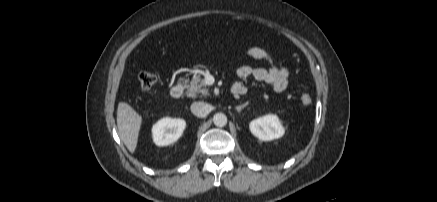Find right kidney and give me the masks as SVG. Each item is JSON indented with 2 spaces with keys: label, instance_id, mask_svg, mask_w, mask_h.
Wrapping results in <instances>:
<instances>
[{
  "label": "right kidney",
  "instance_id": "ca27d5eb",
  "mask_svg": "<svg viewBox=\"0 0 437 202\" xmlns=\"http://www.w3.org/2000/svg\"><path fill=\"white\" fill-rule=\"evenodd\" d=\"M186 127L183 119L163 118L152 127L153 141L157 146H167L176 142Z\"/></svg>",
  "mask_w": 437,
  "mask_h": 202
}]
</instances>
